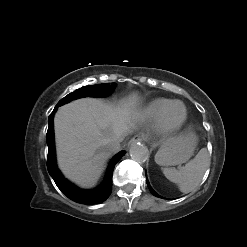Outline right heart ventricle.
I'll use <instances>...</instances> for the list:
<instances>
[{
    "instance_id": "obj_1",
    "label": "right heart ventricle",
    "mask_w": 247,
    "mask_h": 247,
    "mask_svg": "<svg viewBox=\"0 0 247 247\" xmlns=\"http://www.w3.org/2000/svg\"><path fill=\"white\" fill-rule=\"evenodd\" d=\"M172 102L167 98H156L150 101L142 110L143 118L148 122L156 121L161 112Z\"/></svg>"
}]
</instances>
